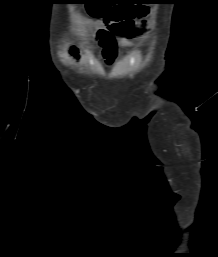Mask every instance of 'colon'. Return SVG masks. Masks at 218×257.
<instances>
[{"instance_id":"1","label":"colon","mask_w":218,"mask_h":257,"mask_svg":"<svg viewBox=\"0 0 218 257\" xmlns=\"http://www.w3.org/2000/svg\"><path fill=\"white\" fill-rule=\"evenodd\" d=\"M82 10H92L94 17H103L111 31L119 36L140 33L142 29L135 26L134 19L143 18L148 13L146 5H82Z\"/></svg>"}]
</instances>
